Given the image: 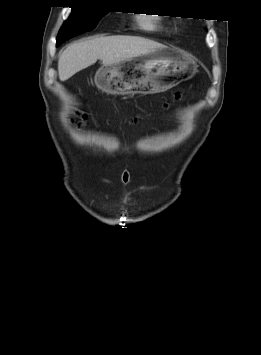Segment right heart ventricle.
<instances>
[{
  "label": "right heart ventricle",
  "mask_w": 261,
  "mask_h": 355,
  "mask_svg": "<svg viewBox=\"0 0 261 355\" xmlns=\"http://www.w3.org/2000/svg\"><path fill=\"white\" fill-rule=\"evenodd\" d=\"M139 26L148 32H154L162 29V22L160 18L155 16H143L138 19Z\"/></svg>",
  "instance_id": "obj_1"
}]
</instances>
